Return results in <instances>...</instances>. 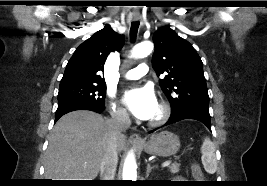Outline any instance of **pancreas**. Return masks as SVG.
<instances>
[{
    "instance_id": "obj_1",
    "label": "pancreas",
    "mask_w": 267,
    "mask_h": 186,
    "mask_svg": "<svg viewBox=\"0 0 267 186\" xmlns=\"http://www.w3.org/2000/svg\"><path fill=\"white\" fill-rule=\"evenodd\" d=\"M180 164L179 163H172L168 168L172 174H176L180 170Z\"/></svg>"
}]
</instances>
